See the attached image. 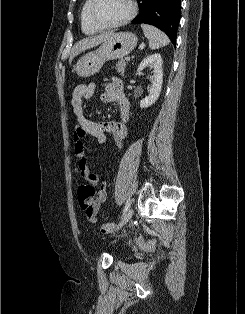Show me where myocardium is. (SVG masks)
Instances as JSON below:
<instances>
[{
  "instance_id": "myocardium-1",
  "label": "myocardium",
  "mask_w": 245,
  "mask_h": 314,
  "mask_svg": "<svg viewBox=\"0 0 245 314\" xmlns=\"http://www.w3.org/2000/svg\"><path fill=\"white\" fill-rule=\"evenodd\" d=\"M97 2L98 0H92L91 7H90V17L93 23L101 29H112V28L121 27L127 24L128 22H130L137 14V4L135 0H129L130 11L124 18L114 23H103L102 21L99 20L96 14Z\"/></svg>"
}]
</instances>
